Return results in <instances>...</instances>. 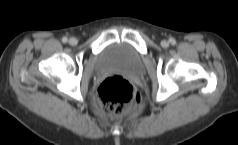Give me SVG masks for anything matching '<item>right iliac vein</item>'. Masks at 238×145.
I'll return each mask as SVG.
<instances>
[{"label":"right iliac vein","mask_w":238,"mask_h":145,"mask_svg":"<svg viewBox=\"0 0 238 145\" xmlns=\"http://www.w3.org/2000/svg\"><path fill=\"white\" fill-rule=\"evenodd\" d=\"M78 43V40L74 37L69 39V44L75 46Z\"/></svg>","instance_id":"right-iliac-vein-1"}]
</instances>
